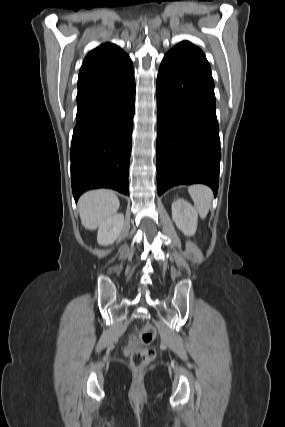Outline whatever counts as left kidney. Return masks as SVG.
Returning a JSON list of instances; mask_svg holds the SVG:
<instances>
[{
    "label": "left kidney",
    "instance_id": "5707ae66",
    "mask_svg": "<svg viewBox=\"0 0 285 427\" xmlns=\"http://www.w3.org/2000/svg\"><path fill=\"white\" fill-rule=\"evenodd\" d=\"M172 218L177 228L186 236H193L197 230L198 214L184 199L172 203Z\"/></svg>",
    "mask_w": 285,
    "mask_h": 427
}]
</instances>
